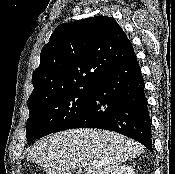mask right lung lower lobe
Returning <instances> with one entry per match:
<instances>
[{
  "instance_id": "98d812e1",
  "label": "right lung lower lobe",
  "mask_w": 175,
  "mask_h": 174,
  "mask_svg": "<svg viewBox=\"0 0 175 174\" xmlns=\"http://www.w3.org/2000/svg\"><path fill=\"white\" fill-rule=\"evenodd\" d=\"M86 127L121 133L152 151L151 119L135 55L95 83L85 109L65 130Z\"/></svg>"
}]
</instances>
